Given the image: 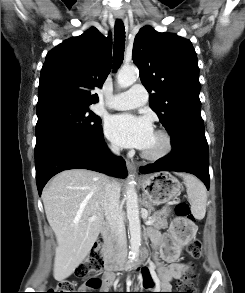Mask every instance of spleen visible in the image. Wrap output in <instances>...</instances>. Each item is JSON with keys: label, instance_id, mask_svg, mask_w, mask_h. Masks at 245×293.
I'll use <instances>...</instances> for the list:
<instances>
[{"label": "spleen", "instance_id": "1", "mask_svg": "<svg viewBox=\"0 0 245 293\" xmlns=\"http://www.w3.org/2000/svg\"><path fill=\"white\" fill-rule=\"evenodd\" d=\"M186 191L191 204L193 216L201 220L205 217L207 193L204 184L196 177L186 174L183 175Z\"/></svg>", "mask_w": 245, "mask_h": 293}]
</instances>
